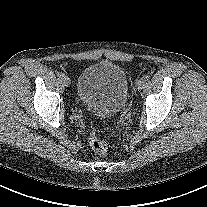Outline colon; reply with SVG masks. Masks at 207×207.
Masks as SVG:
<instances>
[{
	"instance_id": "obj_1",
	"label": "colon",
	"mask_w": 207,
	"mask_h": 207,
	"mask_svg": "<svg viewBox=\"0 0 207 207\" xmlns=\"http://www.w3.org/2000/svg\"><path fill=\"white\" fill-rule=\"evenodd\" d=\"M89 144L92 150L99 156H106L108 153V145L101 140L97 132H92L89 136Z\"/></svg>"
}]
</instances>
